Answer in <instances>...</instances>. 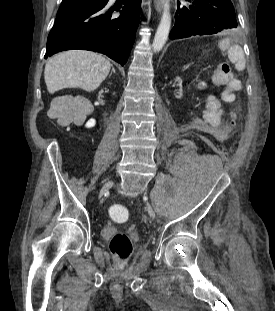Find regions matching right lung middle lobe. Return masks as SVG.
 Returning a JSON list of instances; mask_svg holds the SVG:
<instances>
[{"instance_id": "right-lung-middle-lobe-1", "label": "right lung middle lobe", "mask_w": 275, "mask_h": 311, "mask_svg": "<svg viewBox=\"0 0 275 311\" xmlns=\"http://www.w3.org/2000/svg\"><path fill=\"white\" fill-rule=\"evenodd\" d=\"M103 0H71L62 2L61 7L58 10V14L67 11L69 9L90 5V4H99L102 3Z\"/></svg>"}]
</instances>
